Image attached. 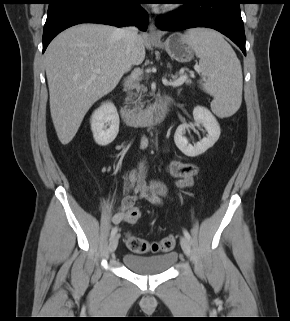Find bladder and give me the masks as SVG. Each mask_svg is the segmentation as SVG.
Wrapping results in <instances>:
<instances>
[{"mask_svg":"<svg viewBox=\"0 0 290 321\" xmlns=\"http://www.w3.org/2000/svg\"><path fill=\"white\" fill-rule=\"evenodd\" d=\"M177 261L174 251L160 255L141 256L127 253L123 256V263L130 271L142 276H155L167 272Z\"/></svg>","mask_w":290,"mask_h":321,"instance_id":"1","label":"bladder"}]
</instances>
